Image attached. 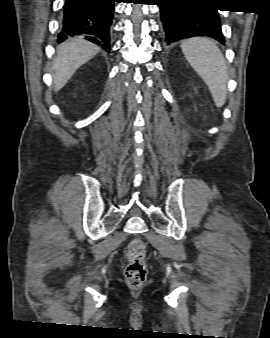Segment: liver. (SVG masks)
Listing matches in <instances>:
<instances>
[{
	"instance_id": "obj_1",
	"label": "liver",
	"mask_w": 270,
	"mask_h": 338,
	"mask_svg": "<svg viewBox=\"0 0 270 338\" xmlns=\"http://www.w3.org/2000/svg\"><path fill=\"white\" fill-rule=\"evenodd\" d=\"M99 47L83 39H74L57 47V57L53 63L54 90L59 91L76 70L99 52Z\"/></svg>"
}]
</instances>
